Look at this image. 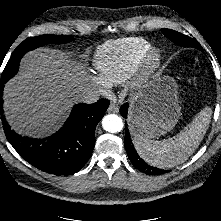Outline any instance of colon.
Returning a JSON list of instances; mask_svg holds the SVG:
<instances>
[{"label":"colon","instance_id":"colon-1","mask_svg":"<svg viewBox=\"0 0 221 221\" xmlns=\"http://www.w3.org/2000/svg\"><path fill=\"white\" fill-rule=\"evenodd\" d=\"M185 62L188 63V62H189V59H188V58H185Z\"/></svg>","mask_w":221,"mask_h":221}]
</instances>
